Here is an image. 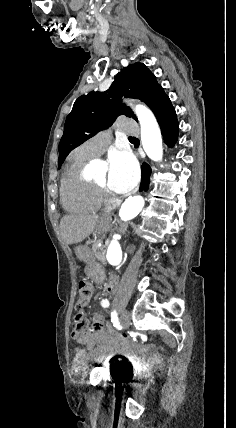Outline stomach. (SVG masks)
Listing matches in <instances>:
<instances>
[{
	"instance_id": "stomach-1",
	"label": "stomach",
	"mask_w": 236,
	"mask_h": 428,
	"mask_svg": "<svg viewBox=\"0 0 236 428\" xmlns=\"http://www.w3.org/2000/svg\"><path fill=\"white\" fill-rule=\"evenodd\" d=\"M75 254L79 260L86 262L85 278L90 279V282L96 286L103 283L105 280L103 263L92 260L93 254L88 246H76Z\"/></svg>"
}]
</instances>
